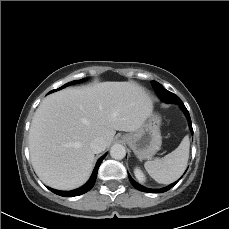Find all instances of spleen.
Segmentation results:
<instances>
[{"label":"spleen","instance_id":"3e777b00","mask_svg":"<svg viewBox=\"0 0 229 229\" xmlns=\"http://www.w3.org/2000/svg\"><path fill=\"white\" fill-rule=\"evenodd\" d=\"M189 147V137L185 136L174 151L161 159L145 162L144 167L158 183L170 184L184 173L189 158Z\"/></svg>","mask_w":229,"mask_h":229}]
</instances>
